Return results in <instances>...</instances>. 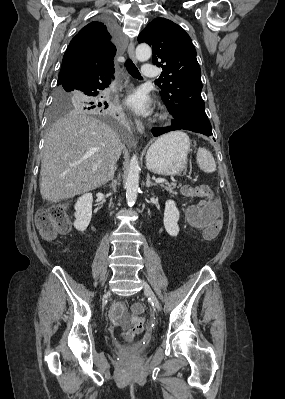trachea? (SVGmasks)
<instances>
[{"instance_id": "trachea-1", "label": "trachea", "mask_w": 285, "mask_h": 399, "mask_svg": "<svg viewBox=\"0 0 285 399\" xmlns=\"http://www.w3.org/2000/svg\"><path fill=\"white\" fill-rule=\"evenodd\" d=\"M125 66L131 76L141 79V74L139 73L138 68L133 64L132 60L128 59L125 63Z\"/></svg>"}]
</instances>
